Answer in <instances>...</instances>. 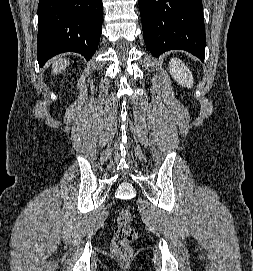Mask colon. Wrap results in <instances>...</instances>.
Here are the masks:
<instances>
[{
  "instance_id": "1",
  "label": "colon",
  "mask_w": 253,
  "mask_h": 271,
  "mask_svg": "<svg viewBox=\"0 0 253 271\" xmlns=\"http://www.w3.org/2000/svg\"><path fill=\"white\" fill-rule=\"evenodd\" d=\"M133 214L129 209H123L117 216V225L112 237V248L119 257L126 258L131 254V243L137 237V231L132 227Z\"/></svg>"
}]
</instances>
